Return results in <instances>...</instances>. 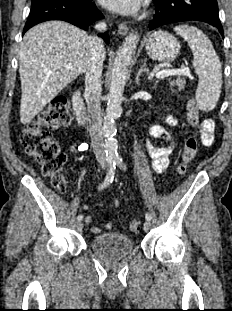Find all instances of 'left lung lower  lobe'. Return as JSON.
Wrapping results in <instances>:
<instances>
[{"label":"left lung lower lobe","mask_w":232,"mask_h":311,"mask_svg":"<svg viewBox=\"0 0 232 311\" xmlns=\"http://www.w3.org/2000/svg\"><path fill=\"white\" fill-rule=\"evenodd\" d=\"M155 14L150 22V30L159 26L179 22L197 20L215 26L222 37L223 27L219 20L216 0H153Z\"/></svg>","instance_id":"left-lung-lower-lobe-1"}]
</instances>
